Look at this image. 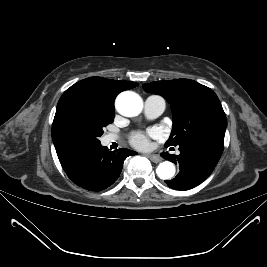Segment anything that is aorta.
Here are the masks:
<instances>
[{
    "mask_svg": "<svg viewBox=\"0 0 267 267\" xmlns=\"http://www.w3.org/2000/svg\"><path fill=\"white\" fill-rule=\"evenodd\" d=\"M115 104L118 112L126 117L137 116L143 109L142 98L132 91L119 94ZM175 171L176 169L172 162L164 161L158 165L156 174L162 180H169L175 175Z\"/></svg>",
    "mask_w": 267,
    "mask_h": 267,
    "instance_id": "1",
    "label": "aorta"
}]
</instances>
